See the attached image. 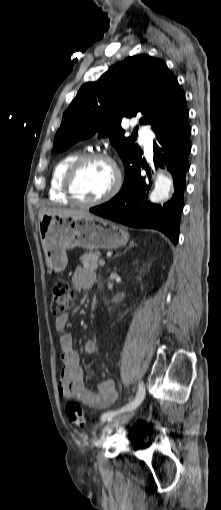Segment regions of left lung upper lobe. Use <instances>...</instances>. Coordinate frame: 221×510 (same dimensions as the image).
<instances>
[{
    "label": "left lung upper lobe",
    "instance_id": "obj_1",
    "mask_svg": "<svg viewBox=\"0 0 221 510\" xmlns=\"http://www.w3.org/2000/svg\"><path fill=\"white\" fill-rule=\"evenodd\" d=\"M137 114L140 124L151 125L155 133L189 115L175 76L162 60L147 54L116 63L98 81L80 88L63 115L54 148L62 152L96 133L107 136L124 163L126 177L139 164L142 150L124 137L120 123Z\"/></svg>",
    "mask_w": 221,
    "mask_h": 510
}]
</instances>
